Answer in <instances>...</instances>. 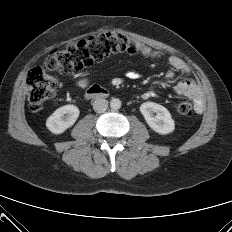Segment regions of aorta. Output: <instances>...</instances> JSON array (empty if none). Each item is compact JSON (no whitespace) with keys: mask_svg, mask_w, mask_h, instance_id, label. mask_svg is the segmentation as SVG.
<instances>
[{"mask_svg":"<svg viewBox=\"0 0 232 232\" xmlns=\"http://www.w3.org/2000/svg\"><path fill=\"white\" fill-rule=\"evenodd\" d=\"M110 107L113 110H118L121 107V101L118 98H112L110 101Z\"/></svg>","mask_w":232,"mask_h":232,"instance_id":"aorta-1","label":"aorta"}]
</instances>
